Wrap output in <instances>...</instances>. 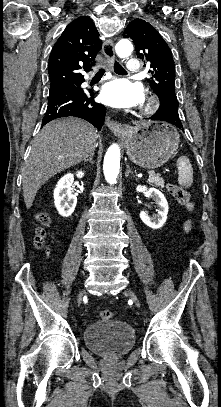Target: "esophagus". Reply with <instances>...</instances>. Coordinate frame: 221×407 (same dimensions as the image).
I'll list each match as a JSON object with an SVG mask.
<instances>
[{"instance_id": "esophagus-1", "label": "esophagus", "mask_w": 221, "mask_h": 407, "mask_svg": "<svg viewBox=\"0 0 221 407\" xmlns=\"http://www.w3.org/2000/svg\"><path fill=\"white\" fill-rule=\"evenodd\" d=\"M102 51L105 55V58L108 61V65L111 66V61L115 59V52H114V45L112 40H106L103 43ZM106 126L115 134V135H123L126 134L130 127L127 125H121L117 121L113 120L110 116L106 117L105 120Z\"/></svg>"}]
</instances>
